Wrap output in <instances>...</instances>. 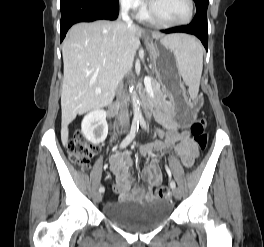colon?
<instances>
[{"label": "colon", "mask_w": 264, "mask_h": 247, "mask_svg": "<svg viewBox=\"0 0 264 247\" xmlns=\"http://www.w3.org/2000/svg\"><path fill=\"white\" fill-rule=\"evenodd\" d=\"M207 122L204 118L195 120L191 126V133L200 149H205L208 143V135L206 132ZM98 147L89 143L82 135H77L68 145L70 159L81 169L86 170L90 167V161L97 152ZM156 195L159 198H166L170 192L168 187H157Z\"/></svg>", "instance_id": "obj_1"}]
</instances>
